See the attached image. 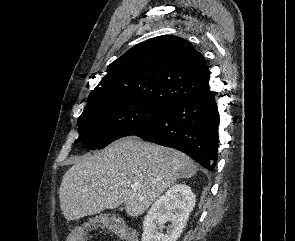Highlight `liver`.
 Masks as SVG:
<instances>
[{
    "instance_id": "6515ba94",
    "label": "liver",
    "mask_w": 295,
    "mask_h": 241,
    "mask_svg": "<svg viewBox=\"0 0 295 241\" xmlns=\"http://www.w3.org/2000/svg\"><path fill=\"white\" fill-rule=\"evenodd\" d=\"M196 172L195 162L180 151L123 138L75 159L59 189L61 211L67 220H78L124 203L126 213L138 217L177 179ZM133 184L139 185L135 191Z\"/></svg>"
}]
</instances>
